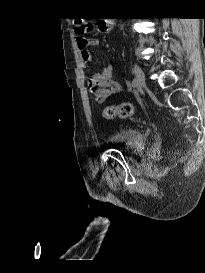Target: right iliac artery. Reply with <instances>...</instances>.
<instances>
[{
    "instance_id": "obj_1",
    "label": "right iliac artery",
    "mask_w": 205,
    "mask_h": 273,
    "mask_svg": "<svg viewBox=\"0 0 205 273\" xmlns=\"http://www.w3.org/2000/svg\"><path fill=\"white\" fill-rule=\"evenodd\" d=\"M136 85H137V83H136V80L134 79V80L132 81L131 86H132V87H135Z\"/></svg>"
}]
</instances>
